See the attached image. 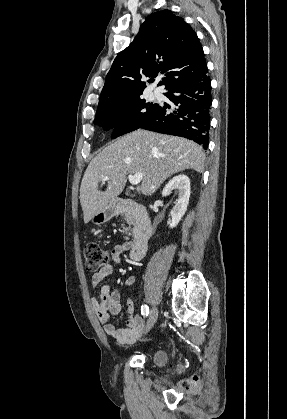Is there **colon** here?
I'll use <instances>...</instances> for the list:
<instances>
[{
    "instance_id": "obj_1",
    "label": "colon",
    "mask_w": 287,
    "mask_h": 419,
    "mask_svg": "<svg viewBox=\"0 0 287 419\" xmlns=\"http://www.w3.org/2000/svg\"><path fill=\"white\" fill-rule=\"evenodd\" d=\"M84 255L86 267L89 271H97L103 268L111 258L110 251L96 243L87 244L84 249ZM196 382L197 380H188L183 383V386L185 388H192L196 385Z\"/></svg>"
}]
</instances>
